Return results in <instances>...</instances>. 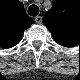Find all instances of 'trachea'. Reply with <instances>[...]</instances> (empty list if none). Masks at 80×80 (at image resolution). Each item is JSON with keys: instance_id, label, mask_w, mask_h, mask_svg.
I'll return each instance as SVG.
<instances>
[{"instance_id": "3493384b", "label": "trachea", "mask_w": 80, "mask_h": 80, "mask_svg": "<svg viewBox=\"0 0 80 80\" xmlns=\"http://www.w3.org/2000/svg\"><path fill=\"white\" fill-rule=\"evenodd\" d=\"M28 14L30 16H37L39 14V8L37 5H31L29 8H28Z\"/></svg>"}]
</instances>
